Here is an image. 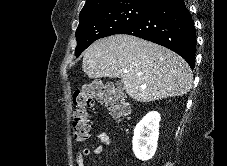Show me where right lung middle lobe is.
Segmentation results:
<instances>
[{"label":"right lung middle lobe","mask_w":227,"mask_h":166,"mask_svg":"<svg viewBox=\"0 0 227 166\" xmlns=\"http://www.w3.org/2000/svg\"><path fill=\"white\" fill-rule=\"evenodd\" d=\"M152 7L131 2L80 14V22L76 30V57L97 39L118 34L129 27L147 14Z\"/></svg>","instance_id":"right-lung-middle-lobe-1"}]
</instances>
